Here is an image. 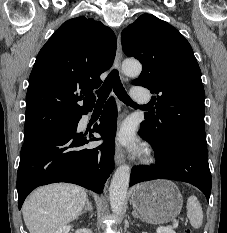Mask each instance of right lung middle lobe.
Instances as JSON below:
<instances>
[{"mask_svg": "<svg viewBox=\"0 0 227 233\" xmlns=\"http://www.w3.org/2000/svg\"><path fill=\"white\" fill-rule=\"evenodd\" d=\"M74 121H75V120H74ZM74 121H71V122L65 123V124H63V125L59 126L58 128H60V127H64V126H68V125H71ZM32 137H34V136H32ZM29 138H31V137H25V136H24V140L29 139Z\"/></svg>", "mask_w": 227, "mask_h": 233, "instance_id": "dd1d6c3e", "label": "right lung middle lobe"}]
</instances>
